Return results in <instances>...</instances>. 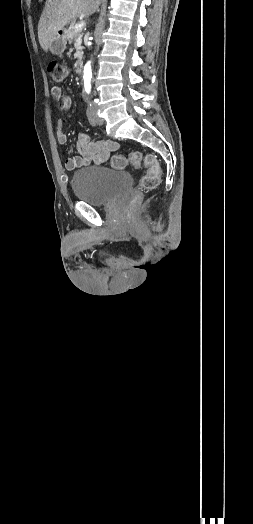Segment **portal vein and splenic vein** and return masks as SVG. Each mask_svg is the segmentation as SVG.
Returning a JSON list of instances; mask_svg holds the SVG:
<instances>
[{"label": "portal vein and splenic vein", "instance_id": "obj_1", "mask_svg": "<svg viewBox=\"0 0 253 524\" xmlns=\"http://www.w3.org/2000/svg\"><path fill=\"white\" fill-rule=\"evenodd\" d=\"M84 26H85V22L81 21V22L76 24L75 29L81 30Z\"/></svg>", "mask_w": 253, "mask_h": 524}]
</instances>
